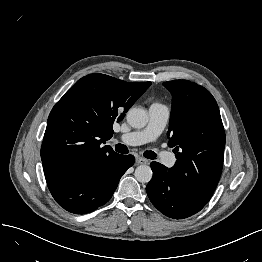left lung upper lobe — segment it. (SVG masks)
Listing matches in <instances>:
<instances>
[{
    "label": "left lung upper lobe",
    "mask_w": 262,
    "mask_h": 262,
    "mask_svg": "<svg viewBox=\"0 0 262 262\" xmlns=\"http://www.w3.org/2000/svg\"><path fill=\"white\" fill-rule=\"evenodd\" d=\"M163 85L173 96L167 133L177 158L170 169L172 177L206 205L221 176L226 140L217 102L194 82L173 80Z\"/></svg>",
    "instance_id": "left-lung-upper-lobe-1"
}]
</instances>
